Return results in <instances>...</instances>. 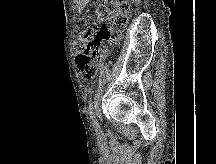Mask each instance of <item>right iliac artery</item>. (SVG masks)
Instances as JSON below:
<instances>
[{"label":"right iliac artery","instance_id":"82829eb1","mask_svg":"<svg viewBox=\"0 0 216 164\" xmlns=\"http://www.w3.org/2000/svg\"><path fill=\"white\" fill-rule=\"evenodd\" d=\"M89 114H90V119L92 120L93 126L95 127L96 131L99 130V126L97 121L95 120L94 112H93V103H89Z\"/></svg>","mask_w":216,"mask_h":164}]
</instances>
